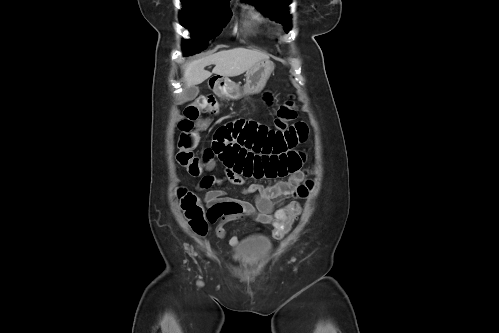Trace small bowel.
Wrapping results in <instances>:
<instances>
[{
    "mask_svg": "<svg viewBox=\"0 0 499 333\" xmlns=\"http://www.w3.org/2000/svg\"><path fill=\"white\" fill-rule=\"evenodd\" d=\"M307 137L308 127L304 122L279 130L252 120H236L216 130L211 146L204 150L201 159L206 165L218 158L225 173L203 177L199 187L208 190L205 202L210 223H216L218 238L228 239L231 246H236L240 238L224 228L226 223L249 217L259 224H274V208L280 206L285 197L307 196L312 183L306 179L307 172L303 169L306 157L296 149ZM282 177L287 179L271 185L260 182L247 185L243 192L253 195V203L212 188L224 182L244 186L248 178Z\"/></svg>",
    "mask_w": 499,
    "mask_h": 333,
    "instance_id": "1",
    "label": "small bowel"
}]
</instances>
